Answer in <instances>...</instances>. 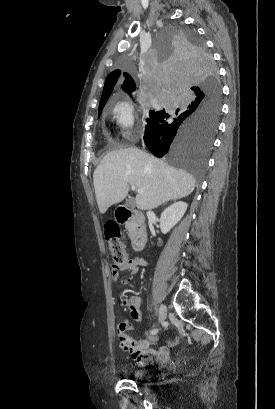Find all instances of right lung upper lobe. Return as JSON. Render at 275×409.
Returning a JSON list of instances; mask_svg holds the SVG:
<instances>
[{
    "mask_svg": "<svg viewBox=\"0 0 275 409\" xmlns=\"http://www.w3.org/2000/svg\"><path fill=\"white\" fill-rule=\"evenodd\" d=\"M121 73H115V71L111 72L105 81V85L103 88V93H102V97L100 100V104H99V111L103 110L104 105L106 104L113 88L114 85L116 84L119 76ZM122 79H123V85L122 88L127 92V93H131L135 90V82L133 80V78L128 74V73H123L122 74ZM194 91V90H193Z\"/></svg>",
    "mask_w": 275,
    "mask_h": 409,
    "instance_id": "1",
    "label": "right lung upper lobe"
}]
</instances>
